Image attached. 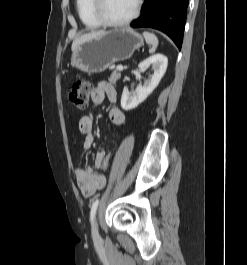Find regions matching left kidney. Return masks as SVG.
I'll list each match as a JSON object with an SVG mask.
<instances>
[{"label": "left kidney", "instance_id": "obj_1", "mask_svg": "<svg viewBox=\"0 0 247 265\" xmlns=\"http://www.w3.org/2000/svg\"><path fill=\"white\" fill-rule=\"evenodd\" d=\"M168 65V59L163 54L153 55L146 60L142 61L138 68L140 71L146 70L149 66L154 69L153 75L143 86H138L133 95H129L127 89L123 90L121 96V107L125 111L136 108L142 103L158 86L160 80L164 76Z\"/></svg>", "mask_w": 247, "mask_h": 265}]
</instances>
